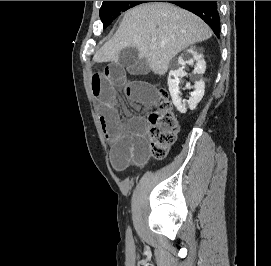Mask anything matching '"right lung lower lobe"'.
Wrapping results in <instances>:
<instances>
[{
	"instance_id": "right-lung-lower-lobe-1",
	"label": "right lung lower lobe",
	"mask_w": 271,
	"mask_h": 266,
	"mask_svg": "<svg viewBox=\"0 0 271 266\" xmlns=\"http://www.w3.org/2000/svg\"><path fill=\"white\" fill-rule=\"evenodd\" d=\"M167 2L176 4L198 15L211 27L215 35L219 37L220 18L218 13L217 1H167Z\"/></svg>"
}]
</instances>
